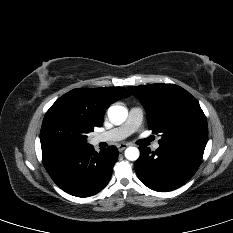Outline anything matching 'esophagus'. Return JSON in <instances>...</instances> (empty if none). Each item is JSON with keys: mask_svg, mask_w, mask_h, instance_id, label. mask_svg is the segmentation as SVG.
I'll return each mask as SVG.
<instances>
[{"mask_svg": "<svg viewBox=\"0 0 233 233\" xmlns=\"http://www.w3.org/2000/svg\"><path fill=\"white\" fill-rule=\"evenodd\" d=\"M127 147H128V144L121 143V144L118 145V150L121 152Z\"/></svg>", "mask_w": 233, "mask_h": 233, "instance_id": "1", "label": "esophagus"}]
</instances>
